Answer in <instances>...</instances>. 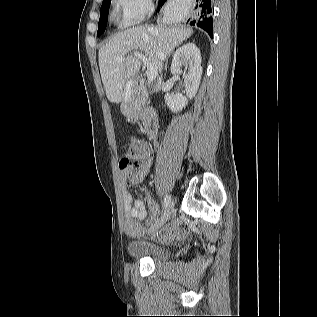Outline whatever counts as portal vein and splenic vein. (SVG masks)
Returning <instances> with one entry per match:
<instances>
[{"instance_id":"1","label":"portal vein and splenic vein","mask_w":317,"mask_h":317,"mask_svg":"<svg viewBox=\"0 0 317 317\" xmlns=\"http://www.w3.org/2000/svg\"><path fill=\"white\" fill-rule=\"evenodd\" d=\"M134 55L142 61L145 67H147V78H148V82L150 83L157 75V67L154 64L150 63L143 54L136 52L134 53ZM119 60L122 61L123 58L121 57L119 58Z\"/></svg>"}]
</instances>
